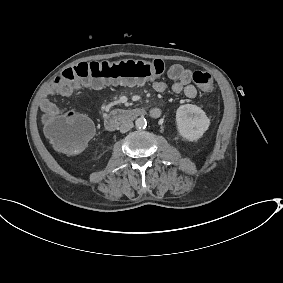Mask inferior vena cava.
<instances>
[{"instance_id":"602c4592","label":"inferior vena cava","mask_w":283,"mask_h":283,"mask_svg":"<svg viewBox=\"0 0 283 283\" xmlns=\"http://www.w3.org/2000/svg\"><path fill=\"white\" fill-rule=\"evenodd\" d=\"M133 122L132 121H124L120 126V132L125 133L129 131L131 128H133Z\"/></svg>"}]
</instances>
